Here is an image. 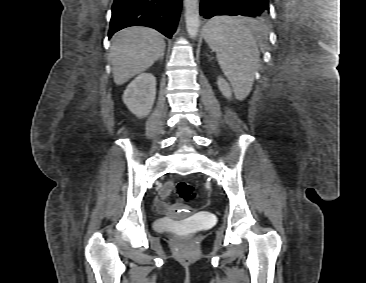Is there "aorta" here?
Here are the masks:
<instances>
[{
	"mask_svg": "<svg viewBox=\"0 0 366 283\" xmlns=\"http://www.w3.org/2000/svg\"><path fill=\"white\" fill-rule=\"evenodd\" d=\"M199 0H184L185 21L188 34L191 38H196L199 32Z\"/></svg>",
	"mask_w": 366,
	"mask_h": 283,
	"instance_id": "obj_1",
	"label": "aorta"
}]
</instances>
